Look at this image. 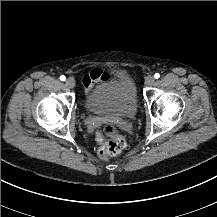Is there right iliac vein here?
<instances>
[{
    "label": "right iliac vein",
    "mask_w": 217,
    "mask_h": 217,
    "mask_svg": "<svg viewBox=\"0 0 217 217\" xmlns=\"http://www.w3.org/2000/svg\"><path fill=\"white\" fill-rule=\"evenodd\" d=\"M65 85L69 88H74L75 87V80L73 78H68L65 81Z\"/></svg>",
    "instance_id": "right-iliac-vein-1"
}]
</instances>
